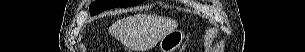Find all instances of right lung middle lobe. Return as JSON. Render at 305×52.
<instances>
[{
    "label": "right lung middle lobe",
    "mask_w": 305,
    "mask_h": 52,
    "mask_svg": "<svg viewBox=\"0 0 305 52\" xmlns=\"http://www.w3.org/2000/svg\"><path fill=\"white\" fill-rule=\"evenodd\" d=\"M144 0H98L90 5V14L95 15L113 7H128L137 5Z\"/></svg>",
    "instance_id": "right-lung-middle-lobe-1"
}]
</instances>
